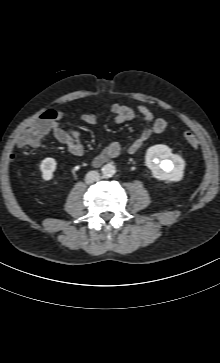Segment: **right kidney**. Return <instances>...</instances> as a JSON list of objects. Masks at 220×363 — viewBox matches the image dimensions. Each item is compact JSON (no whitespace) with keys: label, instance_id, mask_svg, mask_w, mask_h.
<instances>
[{"label":"right kidney","instance_id":"1","mask_svg":"<svg viewBox=\"0 0 220 363\" xmlns=\"http://www.w3.org/2000/svg\"><path fill=\"white\" fill-rule=\"evenodd\" d=\"M55 169L56 161L53 158H45L40 164V170L44 180H51L53 178V172Z\"/></svg>","mask_w":220,"mask_h":363}]
</instances>
